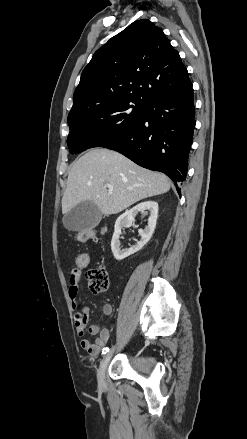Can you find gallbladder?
I'll return each mask as SVG.
<instances>
[{"label":"gallbladder","instance_id":"bac80fb5","mask_svg":"<svg viewBox=\"0 0 247 439\" xmlns=\"http://www.w3.org/2000/svg\"><path fill=\"white\" fill-rule=\"evenodd\" d=\"M102 213L92 201H84L73 207L62 219L69 231H81L96 227L101 221Z\"/></svg>","mask_w":247,"mask_h":439}]
</instances>
